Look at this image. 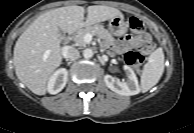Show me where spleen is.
Here are the masks:
<instances>
[{
    "instance_id": "spleen-1",
    "label": "spleen",
    "mask_w": 194,
    "mask_h": 133,
    "mask_svg": "<svg viewBox=\"0 0 194 133\" xmlns=\"http://www.w3.org/2000/svg\"><path fill=\"white\" fill-rule=\"evenodd\" d=\"M164 72V53L157 48L148 58L141 75V91L147 92L155 86Z\"/></svg>"
}]
</instances>
